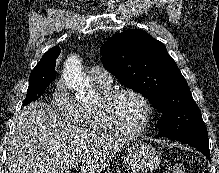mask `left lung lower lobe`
<instances>
[{
    "mask_svg": "<svg viewBox=\"0 0 219 173\" xmlns=\"http://www.w3.org/2000/svg\"><path fill=\"white\" fill-rule=\"evenodd\" d=\"M178 141L187 143L197 148L201 153H203L208 160H210L209 142L201 139H179Z\"/></svg>",
    "mask_w": 219,
    "mask_h": 173,
    "instance_id": "0a47b994",
    "label": "left lung lower lobe"
}]
</instances>
